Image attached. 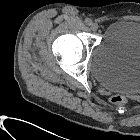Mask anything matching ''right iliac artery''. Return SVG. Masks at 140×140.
<instances>
[{
	"mask_svg": "<svg viewBox=\"0 0 140 140\" xmlns=\"http://www.w3.org/2000/svg\"><path fill=\"white\" fill-rule=\"evenodd\" d=\"M85 23H86L87 25H91V24H92V20L89 19V18H87V19L85 20Z\"/></svg>",
	"mask_w": 140,
	"mask_h": 140,
	"instance_id": "82829eb1",
	"label": "right iliac artery"
}]
</instances>
